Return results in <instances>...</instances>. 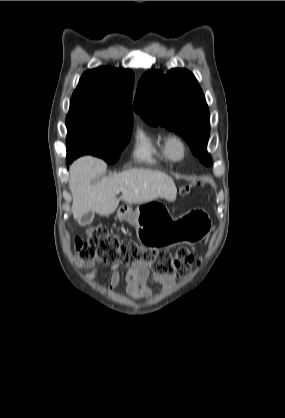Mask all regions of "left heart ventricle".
Instances as JSON below:
<instances>
[{
    "mask_svg": "<svg viewBox=\"0 0 285 418\" xmlns=\"http://www.w3.org/2000/svg\"><path fill=\"white\" fill-rule=\"evenodd\" d=\"M173 151H174L175 154H179L180 148L177 145H174L173 146Z\"/></svg>",
    "mask_w": 285,
    "mask_h": 418,
    "instance_id": "left-heart-ventricle-1",
    "label": "left heart ventricle"
}]
</instances>
